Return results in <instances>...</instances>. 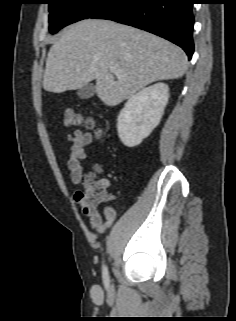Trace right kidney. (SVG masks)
I'll return each instance as SVG.
<instances>
[{
  "mask_svg": "<svg viewBox=\"0 0 236 321\" xmlns=\"http://www.w3.org/2000/svg\"><path fill=\"white\" fill-rule=\"evenodd\" d=\"M169 87L156 83L131 96L117 117V132L127 147L139 145L159 124L168 103Z\"/></svg>",
  "mask_w": 236,
  "mask_h": 321,
  "instance_id": "1",
  "label": "right kidney"
}]
</instances>
